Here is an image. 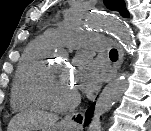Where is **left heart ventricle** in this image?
<instances>
[{
    "label": "left heart ventricle",
    "instance_id": "obj_1",
    "mask_svg": "<svg viewBox=\"0 0 151 131\" xmlns=\"http://www.w3.org/2000/svg\"><path fill=\"white\" fill-rule=\"evenodd\" d=\"M68 75V68L64 63H54L53 71L46 83V92L53 101H63L77 94L75 84Z\"/></svg>",
    "mask_w": 151,
    "mask_h": 131
}]
</instances>
